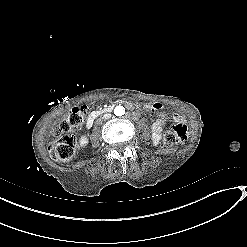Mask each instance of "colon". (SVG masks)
Wrapping results in <instances>:
<instances>
[{
  "label": "colon",
  "instance_id": "obj_1",
  "mask_svg": "<svg viewBox=\"0 0 247 247\" xmlns=\"http://www.w3.org/2000/svg\"><path fill=\"white\" fill-rule=\"evenodd\" d=\"M144 106L146 108L151 106V108L157 112L162 111L164 108L163 103L160 101L154 102L152 105L149 101H146ZM85 118L86 110L81 107L74 109L61 120L57 134H63V136L59 139L50 140L47 144V149L56 161L64 162L73 158L76 146L74 131L84 123ZM187 136V126L184 123H178L165 133L163 142L166 146H174L176 143L184 142Z\"/></svg>",
  "mask_w": 247,
  "mask_h": 247
}]
</instances>
